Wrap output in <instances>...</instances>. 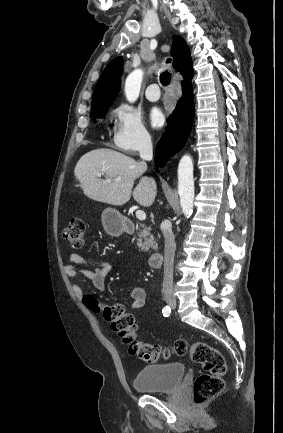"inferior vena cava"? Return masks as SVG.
Returning <instances> with one entry per match:
<instances>
[{
	"label": "inferior vena cava",
	"mask_w": 283,
	"mask_h": 433,
	"mask_svg": "<svg viewBox=\"0 0 283 433\" xmlns=\"http://www.w3.org/2000/svg\"><path fill=\"white\" fill-rule=\"evenodd\" d=\"M139 152L143 160H152L153 146L151 138H144ZM162 233L165 239L163 293L166 295V293H173V263L176 243L172 229H162Z\"/></svg>",
	"instance_id": "602c4592"
}]
</instances>
